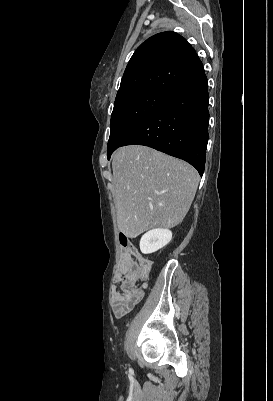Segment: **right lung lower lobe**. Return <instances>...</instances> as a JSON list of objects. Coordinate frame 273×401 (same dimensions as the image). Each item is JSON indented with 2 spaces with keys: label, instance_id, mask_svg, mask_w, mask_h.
<instances>
[{
  "label": "right lung lower lobe",
  "instance_id": "1",
  "mask_svg": "<svg viewBox=\"0 0 273 401\" xmlns=\"http://www.w3.org/2000/svg\"><path fill=\"white\" fill-rule=\"evenodd\" d=\"M208 103V83L203 72L166 94L121 146L152 147L187 161L202 175L209 137Z\"/></svg>",
  "mask_w": 273,
  "mask_h": 401
}]
</instances>
